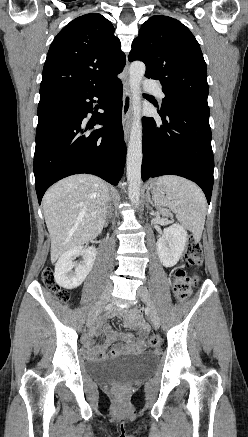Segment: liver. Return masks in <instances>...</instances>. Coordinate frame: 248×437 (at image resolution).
<instances>
[{
    "instance_id": "liver-1",
    "label": "liver",
    "mask_w": 248,
    "mask_h": 437,
    "mask_svg": "<svg viewBox=\"0 0 248 437\" xmlns=\"http://www.w3.org/2000/svg\"><path fill=\"white\" fill-rule=\"evenodd\" d=\"M108 202L106 182L88 174L65 178L46 192L43 210L51 238L52 263L102 232Z\"/></svg>"
}]
</instances>
